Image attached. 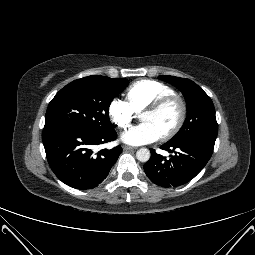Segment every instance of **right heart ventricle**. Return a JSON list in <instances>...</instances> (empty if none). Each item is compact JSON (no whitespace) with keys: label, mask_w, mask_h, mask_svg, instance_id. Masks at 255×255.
<instances>
[{"label":"right heart ventricle","mask_w":255,"mask_h":255,"mask_svg":"<svg viewBox=\"0 0 255 255\" xmlns=\"http://www.w3.org/2000/svg\"><path fill=\"white\" fill-rule=\"evenodd\" d=\"M174 90L156 80H140L132 84L126 91L129 106L136 113L162 96L172 94Z\"/></svg>","instance_id":"1"}]
</instances>
